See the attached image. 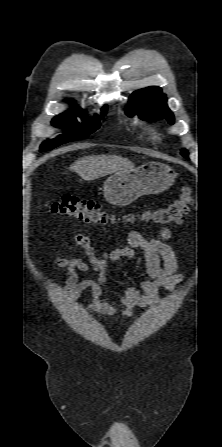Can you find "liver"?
Returning a JSON list of instances; mask_svg holds the SVG:
<instances>
[{
  "mask_svg": "<svg viewBox=\"0 0 222 447\" xmlns=\"http://www.w3.org/2000/svg\"><path fill=\"white\" fill-rule=\"evenodd\" d=\"M134 169V164L127 158L116 155H91L82 157L70 166L86 181L95 180L121 170Z\"/></svg>",
  "mask_w": 222,
  "mask_h": 447,
  "instance_id": "1",
  "label": "liver"
}]
</instances>
